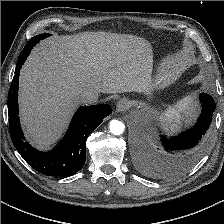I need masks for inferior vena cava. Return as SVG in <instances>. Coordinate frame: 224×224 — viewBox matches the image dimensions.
I'll return each mask as SVG.
<instances>
[{"label":"inferior vena cava","instance_id":"inferior-vena-cava-1","mask_svg":"<svg viewBox=\"0 0 224 224\" xmlns=\"http://www.w3.org/2000/svg\"><path fill=\"white\" fill-rule=\"evenodd\" d=\"M99 95L94 92L86 91L79 97L80 103L82 104H93L98 101Z\"/></svg>","mask_w":224,"mask_h":224}]
</instances>
